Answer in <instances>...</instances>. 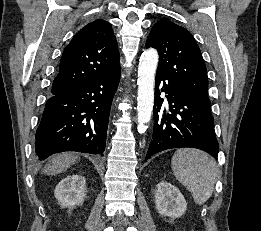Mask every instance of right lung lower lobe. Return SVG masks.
<instances>
[{
  "label": "right lung lower lobe",
  "mask_w": 261,
  "mask_h": 231,
  "mask_svg": "<svg viewBox=\"0 0 261 231\" xmlns=\"http://www.w3.org/2000/svg\"><path fill=\"white\" fill-rule=\"evenodd\" d=\"M119 80L120 65L78 88L50 97L35 136L39 160L64 151L103 156Z\"/></svg>",
  "instance_id": "98d812e1"
}]
</instances>
